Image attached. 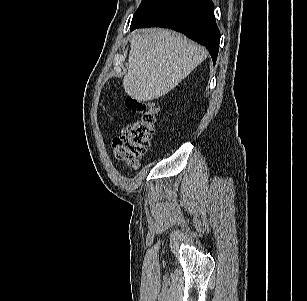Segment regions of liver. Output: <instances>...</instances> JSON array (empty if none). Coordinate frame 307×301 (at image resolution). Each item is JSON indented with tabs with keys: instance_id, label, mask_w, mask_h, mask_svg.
<instances>
[{
	"instance_id": "6515ba94",
	"label": "liver",
	"mask_w": 307,
	"mask_h": 301,
	"mask_svg": "<svg viewBox=\"0 0 307 301\" xmlns=\"http://www.w3.org/2000/svg\"><path fill=\"white\" fill-rule=\"evenodd\" d=\"M207 57L202 46L165 29L132 34L125 92L140 101L158 99L176 87Z\"/></svg>"
}]
</instances>
